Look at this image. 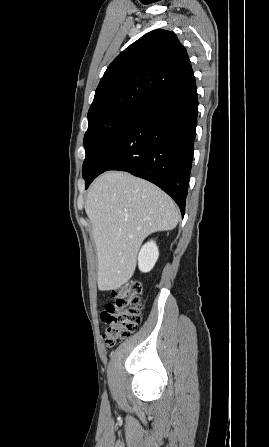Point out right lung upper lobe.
I'll use <instances>...</instances> for the list:
<instances>
[{"instance_id": "right-lung-upper-lobe-1", "label": "right lung upper lobe", "mask_w": 269, "mask_h": 447, "mask_svg": "<svg viewBox=\"0 0 269 447\" xmlns=\"http://www.w3.org/2000/svg\"><path fill=\"white\" fill-rule=\"evenodd\" d=\"M191 69L188 54L173 32L151 31L109 65L96 89L88 119L119 107L142 105Z\"/></svg>"}]
</instances>
